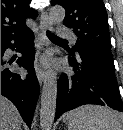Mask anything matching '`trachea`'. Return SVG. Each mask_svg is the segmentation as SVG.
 <instances>
[{
  "label": "trachea",
  "instance_id": "1",
  "mask_svg": "<svg viewBox=\"0 0 123 130\" xmlns=\"http://www.w3.org/2000/svg\"><path fill=\"white\" fill-rule=\"evenodd\" d=\"M47 36L50 40H55V41H64L63 39L59 38L58 36L54 35L53 33L47 31Z\"/></svg>",
  "mask_w": 123,
  "mask_h": 130
}]
</instances>
